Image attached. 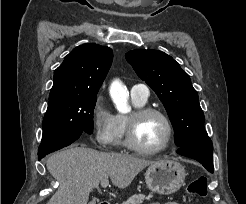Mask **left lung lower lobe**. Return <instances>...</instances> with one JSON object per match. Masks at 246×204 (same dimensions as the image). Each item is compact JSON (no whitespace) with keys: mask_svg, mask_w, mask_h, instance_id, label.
<instances>
[{"mask_svg":"<svg viewBox=\"0 0 246 204\" xmlns=\"http://www.w3.org/2000/svg\"><path fill=\"white\" fill-rule=\"evenodd\" d=\"M177 153L199 161L209 172H214L213 144L208 136L180 146Z\"/></svg>","mask_w":246,"mask_h":204,"instance_id":"1","label":"left lung lower lobe"}]
</instances>
